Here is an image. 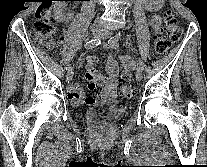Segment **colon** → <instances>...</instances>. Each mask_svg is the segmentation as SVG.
Here are the masks:
<instances>
[{
    "label": "colon",
    "mask_w": 207,
    "mask_h": 167,
    "mask_svg": "<svg viewBox=\"0 0 207 167\" xmlns=\"http://www.w3.org/2000/svg\"><path fill=\"white\" fill-rule=\"evenodd\" d=\"M35 33L43 38H50L53 34V20L52 11L50 7L42 6L38 7L36 11V21L34 23ZM165 29L167 31V37L157 36L154 39V48L157 53H165L169 46L173 43H178L182 37L183 31L179 24L178 18L171 12L165 13ZM49 46H52V42H49ZM123 82L119 85V91L124 96H132L136 91V86L132 82H128L127 78L122 75Z\"/></svg>",
    "instance_id": "colon-1"
}]
</instances>
